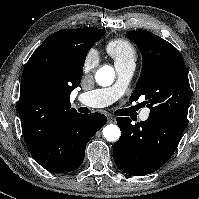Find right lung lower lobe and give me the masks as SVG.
I'll return each mask as SVG.
<instances>
[{
	"mask_svg": "<svg viewBox=\"0 0 199 199\" xmlns=\"http://www.w3.org/2000/svg\"><path fill=\"white\" fill-rule=\"evenodd\" d=\"M100 113L72 114L62 122L56 134L38 143H27L33 158L46 170L66 173L76 170L83 162L88 141L106 123Z\"/></svg>",
	"mask_w": 199,
	"mask_h": 199,
	"instance_id": "98d812e1",
	"label": "right lung lower lobe"
}]
</instances>
